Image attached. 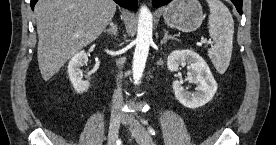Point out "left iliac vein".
Listing matches in <instances>:
<instances>
[{
    "instance_id": "left-iliac-vein-1",
    "label": "left iliac vein",
    "mask_w": 276,
    "mask_h": 145,
    "mask_svg": "<svg viewBox=\"0 0 276 145\" xmlns=\"http://www.w3.org/2000/svg\"><path fill=\"white\" fill-rule=\"evenodd\" d=\"M125 124H130L131 133L140 145H151L152 138L147 130L131 115L124 119Z\"/></svg>"
}]
</instances>
